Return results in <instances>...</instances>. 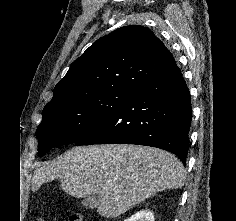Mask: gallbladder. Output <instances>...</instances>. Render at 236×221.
<instances>
[{
  "instance_id": "obj_1",
  "label": "gallbladder",
  "mask_w": 236,
  "mask_h": 221,
  "mask_svg": "<svg viewBox=\"0 0 236 221\" xmlns=\"http://www.w3.org/2000/svg\"><path fill=\"white\" fill-rule=\"evenodd\" d=\"M99 199L96 195H91L85 198L82 202V205L87 209H94L98 206Z\"/></svg>"
}]
</instances>
